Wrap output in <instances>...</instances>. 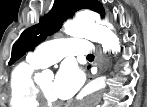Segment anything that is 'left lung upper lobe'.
Masks as SVG:
<instances>
[{
  "instance_id": "1",
  "label": "left lung upper lobe",
  "mask_w": 147,
  "mask_h": 107,
  "mask_svg": "<svg viewBox=\"0 0 147 107\" xmlns=\"http://www.w3.org/2000/svg\"><path fill=\"white\" fill-rule=\"evenodd\" d=\"M81 9H90L104 17V8L97 0H55L47 16L40 18L38 24L27 28L14 43L9 65L20 59L27 51L44 41L47 36L57 32L64 20L73 17Z\"/></svg>"
}]
</instances>
